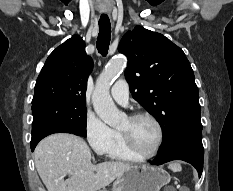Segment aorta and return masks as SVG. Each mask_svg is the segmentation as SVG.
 Wrapping results in <instances>:
<instances>
[{
	"label": "aorta",
	"mask_w": 233,
	"mask_h": 191,
	"mask_svg": "<svg viewBox=\"0 0 233 191\" xmlns=\"http://www.w3.org/2000/svg\"><path fill=\"white\" fill-rule=\"evenodd\" d=\"M127 59L118 56L112 59L97 80L92 96L93 108L101 120L109 126L116 128L120 125L125 115L117 109L111 96L110 87L113 79L124 69Z\"/></svg>",
	"instance_id": "762f6f07"
}]
</instances>
